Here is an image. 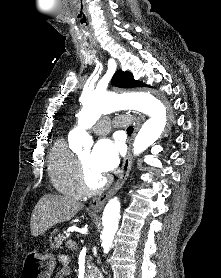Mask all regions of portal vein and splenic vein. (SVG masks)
<instances>
[{"label":"portal vein and splenic vein","instance_id":"portal-vein-and-splenic-vein-1","mask_svg":"<svg viewBox=\"0 0 221 278\" xmlns=\"http://www.w3.org/2000/svg\"><path fill=\"white\" fill-rule=\"evenodd\" d=\"M68 243L71 244V245H72V244H75V242H74V241H71V240L68 241Z\"/></svg>","mask_w":221,"mask_h":278}]
</instances>
